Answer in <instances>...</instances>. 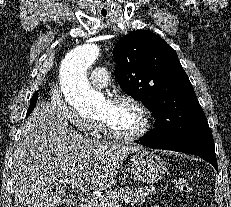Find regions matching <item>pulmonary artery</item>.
I'll list each match as a JSON object with an SVG mask.
<instances>
[{"label":"pulmonary artery","instance_id":"pulmonary-artery-1","mask_svg":"<svg viewBox=\"0 0 231 207\" xmlns=\"http://www.w3.org/2000/svg\"><path fill=\"white\" fill-rule=\"evenodd\" d=\"M89 79L92 85H94L97 88L106 87L110 81L109 73L107 69L103 66L95 67L91 71Z\"/></svg>","mask_w":231,"mask_h":207}]
</instances>
